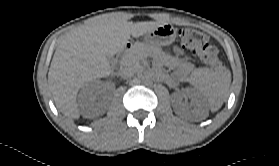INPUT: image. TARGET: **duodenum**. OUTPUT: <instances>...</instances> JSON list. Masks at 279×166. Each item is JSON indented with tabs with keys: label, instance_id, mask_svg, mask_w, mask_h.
Wrapping results in <instances>:
<instances>
[{
	"label": "duodenum",
	"instance_id": "410a0bca",
	"mask_svg": "<svg viewBox=\"0 0 279 166\" xmlns=\"http://www.w3.org/2000/svg\"><path fill=\"white\" fill-rule=\"evenodd\" d=\"M131 47H132V44L131 43H126V44H124L122 47H121V49H120V51H119V54H124V53H126L128 50H130L131 49Z\"/></svg>",
	"mask_w": 279,
	"mask_h": 166
}]
</instances>
